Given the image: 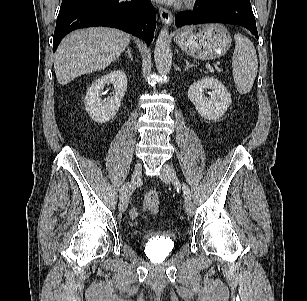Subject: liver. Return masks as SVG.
<instances>
[{
  "label": "liver",
  "mask_w": 307,
  "mask_h": 301,
  "mask_svg": "<svg viewBox=\"0 0 307 301\" xmlns=\"http://www.w3.org/2000/svg\"><path fill=\"white\" fill-rule=\"evenodd\" d=\"M131 36L106 27L77 30L69 34L55 52L54 69L60 85L76 77L104 69L129 44Z\"/></svg>",
  "instance_id": "1"
}]
</instances>
